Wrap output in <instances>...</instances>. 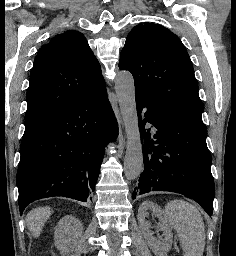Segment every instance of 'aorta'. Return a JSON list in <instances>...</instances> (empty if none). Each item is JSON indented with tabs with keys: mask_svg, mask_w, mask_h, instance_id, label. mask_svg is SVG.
Listing matches in <instances>:
<instances>
[{
	"mask_svg": "<svg viewBox=\"0 0 236 256\" xmlns=\"http://www.w3.org/2000/svg\"><path fill=\"white\" fill-rule=\"evenodd\" d=\"M115 91L127 137L124 174L128 180H135L143 170V153L136 109L134 79L130 72L120 71L116 74Z\"/></svg>",
	"mask_w": 236,
	"mask_h": 256,
	"instance_id": "1",
	"label": "aorta"
}]
</instances>
